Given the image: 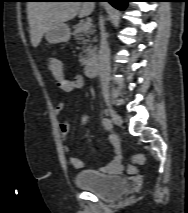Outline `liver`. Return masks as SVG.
<instances>
[{
  "label": "liver",
  "instance_id": "liver-1",
  "mask_svg": "<svg viewBox=\"0 0 188 213\" xmlns=\"http://www.w3.org/2000/svg\"><path fill=\"white\" fill-rule=\"evenodd\" d=\"M94 7V2H28L27 18L32 46L38 47L48 28L69 21L76 15L88 16Z\"/></svg>",
  "mask_w": 188,
  "mask_h": 213
}]
</instances>
